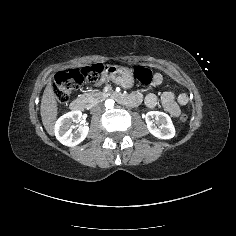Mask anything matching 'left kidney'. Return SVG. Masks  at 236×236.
Instances as JSON below:
<instances>
[{
    "label": "left kidney",
    "instance_id": "obj_1",
    "mask_svg": "<svg viewBox=\"0 0 236 236\" xmlns=\"http://www.w3.org/2000/svg\"><path fill=\"white\" fill-rule=\"evenodd\" d=\"M149 132L159 139H171L175 128L171 118L164 112L150 111L145 117Z\"/></svg>",
    "mask_w": 236,
    "mask_h": 236
}]
</instances>
